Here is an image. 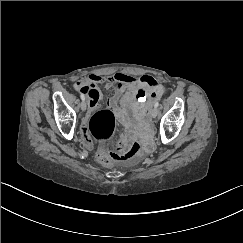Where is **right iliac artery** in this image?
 I'll return each mask as SVG.
<instances>
[{
  "instance_id": "right-iliac-artery-1",
  "label": "right iliac artery",
  "mask_w": 243,
  "mask_h": 243,
  "mask_svg": "<svg viewBox=\"0 0 243 243\" xmlns=\"http://www.w3.org/2000/svg\"><path fill=\"white\" fill-rule=\"evenodd\" d=\"M81 99L84 101L85 100V97L83 94L80 95Z\"/></svg>"
}]
</instances>
